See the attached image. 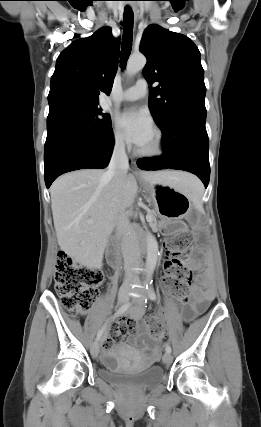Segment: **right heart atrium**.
Masks as SVG:
<instances>
[{
  "instance_id": "right-heart-atrium-1",
  "label": "right heart atrium",
  "mask_w": 261,
  "mask_h": 427,
  "mask_svg": "<svg viewBox=\"0 0 261 427\" xmlns=\"http://www.w3.org/2000/svg\"><path fill=\"white\" fill-rule=\"evenodd\" d=\"M112 142H113V147L115 151L117 152L125 151L126 145H125L124 138L121 132L116 128H113L112 130Z\"/></svg>"
}]
</instances>
